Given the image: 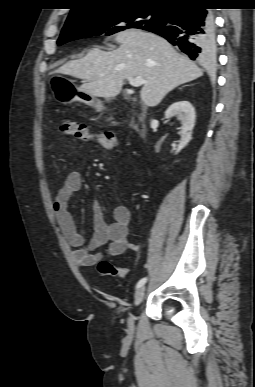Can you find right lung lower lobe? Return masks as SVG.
Here are the masks:
<instances>
[{"label": "right lung lower lobe", "mask_w": 255, "mask_h": 387, "mask_svg": "<svg viewBox=\"0 0 255 387\" xmlns=\"http://www.w3.org/2000/svg\"><path fill=\"white\" fill-rule=\"evenodd\" d=\"M165 21L146 30L159 34L190 59L204 64L215 60L216 41L213 14L197 1L166 9Z\"/></svg>", "instance_id": "right-lung-lower-lobe-1"}]
</instances>
